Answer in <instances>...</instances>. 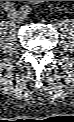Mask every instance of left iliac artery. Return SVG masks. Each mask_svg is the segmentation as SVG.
Segmentation results:
<instances>
[{
    "label": "left iliac artery",
    "mask_w": 74,
    "mask_h": 122,
    "mask_svg": "<svg viewBox=\"0 0 74 122\" xmlns=\"http://www.w3.org/2000/svg\"><path fill=\"white\" fill-rule=\"evenodd\" d=\"M22 11H23L24 14L27 15V14L30 13L31 8H30L29 6H23V7H22Z\"/></svg>",
    "instance_id": "left-iliac-artery-1"
}]
</instances>
